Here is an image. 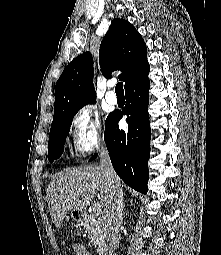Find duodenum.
Instances as JSON below:
<instances>
[{
    "label": "duodenum",
    "instance_id": "410a0bca",
    "mask_svg": "<svg viewBox=\"0 0 221 255\" xmlns=\"http://www.w3.org/2000/svg\"><path fill=\"white\" fill-rule=\"evenodd\" d=\"M103 254H104V255H107V253H106V252H103Z\"/></svg>",
    "mask_w": 221,
    "mask_h": 255
}]
</instances>
